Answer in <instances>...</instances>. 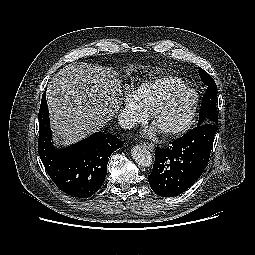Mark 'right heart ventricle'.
Listing matches in <instances>:
<instances>
[{"instance_id": "right-heart-ventricle-1", "label": "right heart ventricle", "mask_w": 255, "mask_h": 255, "mask_svg": "<svg viewBox=\"0 0 255 255\" xmlns=\"http://www.w3.org/2000/svg\"><path fill=\"white\" fill-rule=\"evenodd\" d=\"M185 85L180 78L161 76L140 84L134 96L144 111H151L159 102Z\"/></svg>"}]
</instances>
